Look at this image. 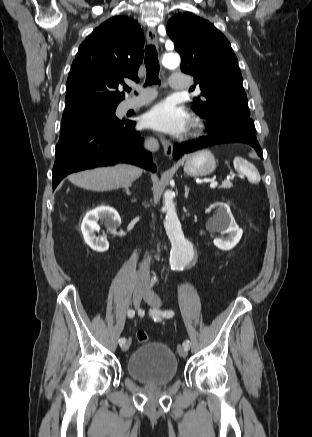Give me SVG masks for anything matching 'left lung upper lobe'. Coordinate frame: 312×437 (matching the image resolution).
<instances>
[{
  "instance_id": "5c2ea615",
  "label": "left lung upper lobe",
  "mask_w": 312,
  "mask_h": 437,
  "mask_svg": "<svg viewBox=\"0 0 312 437\" xmlns=\"http://www.w3.org/2000/svg\"><path fill=\"white\" fill-rule=\"evenodd\" d=\"M166 31L181 55V70L194 77L203 98L195 112L211 128H224L245 141L257 140L242 85L238 60L229 41L209 21L190 12L176 14Z\"/></svg>"
}]
</instances>
